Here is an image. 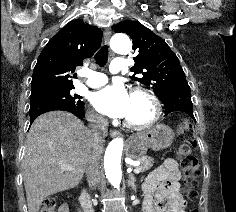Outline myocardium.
I'll return each instance as SVG.
<instances>
[{
    "label": "myocardium",
    "mask_w": 236,
    "mask_h": 212,
    "mask_svg": "<svg viewBox=\"0 0 236 212\" xmlns=\"http://www.w3.org/2000/svg\"><path fill=\"white\" fill-rule=\"evenodd\" d=\"M131 96L143 97L151 106V115L147 120L140 123L125 119L124 125L133 131H143L151 128L159 120L162 113V106L159 99L151 91L142 87H135L131 92Z\"/></svg>",
    "instance_id": "f54148a6"
}]
</instances>
